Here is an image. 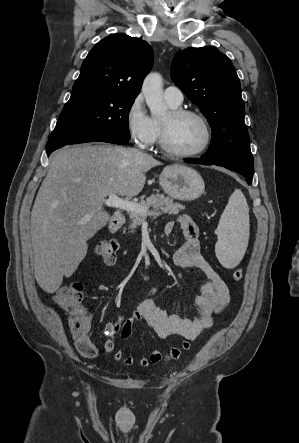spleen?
<instances>
[{
  "instance_id": "1",
  "label": "spleen",
  "mask_w": 299,
  "mask_h": 443,
  "mask_svg": "<svg viewBox=\"0 0 299 443\" xmlns=\"http://www.w3.org/2000/svg\"><path fill=\"white\" fill-rule=\"evenodd\" d=\"M249 208L241 190L235 189L217 227L216 256L225 268L236 267L242 260L249 240Z\"/></svg>"
}]
</instances>
